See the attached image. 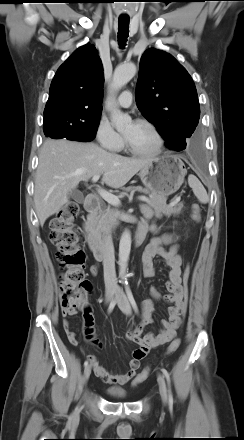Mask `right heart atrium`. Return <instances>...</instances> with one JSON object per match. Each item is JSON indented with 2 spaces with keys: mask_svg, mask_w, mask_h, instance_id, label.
I'll return each instance as SVG.
<instances>
[{
  "mask_svg": "<svg viewBox=\"0 0 244 440\" xmlns=\"http://www.w3.org/2000/svg\"><path fill=\"white\" fill-rule=\"evenodd\" d=\"M95 137L101 147L110 151H117L123 146L122 136L115 131L106 117L99 119L95 130Z\"/></svg>",
  "mask_w": 244,
  "mask_h": 440,
  "instance_id": "obj_1",
  "label": "right heart atrium"
}]
</instances>
